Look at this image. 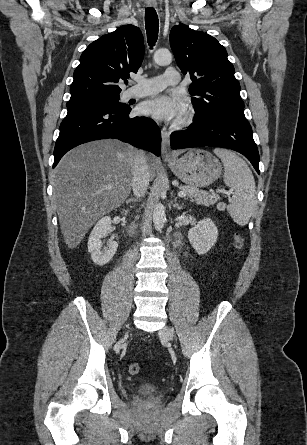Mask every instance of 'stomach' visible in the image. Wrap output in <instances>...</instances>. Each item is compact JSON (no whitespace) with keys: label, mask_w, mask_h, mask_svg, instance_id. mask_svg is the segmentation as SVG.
Instances as JSON below:
<instances>
[{"label":"stomach","mask_w":307,"mask_h":445,"mask_svg":"<svg viewBox=\"0 0 307 445\" xmlns=\"http://www.w3.org/2000/svg\"><path fill=\"white\" fill-rule=\"evenodd\" d=\"M172 172L188 186H208L217 180L223 168L220 160L202 148H192L181 158L168 162Z\"/></svg>","instance_id":"stomach-1"}]
</instances>
